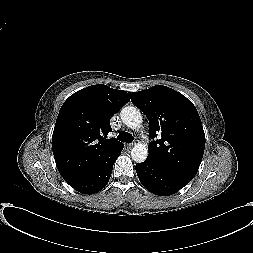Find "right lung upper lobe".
<instances>
[{"instance_id": "cb5924a9", "label": "right lung upper lobe", "mask_w": 253, "mask_h": 253, "mask_svg": "<svg viewBox=\"0 0 253 253\" xmlns=\"http://www.w3.org/2000/svg\"><path fill=\"white\" fill-rule=\"evenodd\" d=\"M129 100V93L102 84L67 98L52 136L56 166L66 181L97 169L123 145L107 135L112 131L111 117Z\"/></svg>"}]
</instances>
